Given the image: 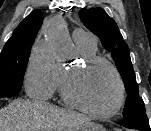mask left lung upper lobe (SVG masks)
<instances>
[{"label":"left lung upper lobe","mask_w":151,"mask_h":131,"mask_svg":"<svg viewBox=\"0 0 151 131\" xmlns=\"http://www.w3.org/2000/svg\"><path fill=\"white\" fill-rule=\"evenodd\" d=\"M79 16L84 25L99 37L103 47L112 53L128 95L123 116L126 118L145 113V104L139 95L129 47L124 42L116 22L102 8L82 9Z\"/></svg>","instance_id":"5c2ea615"}]
</instances>
